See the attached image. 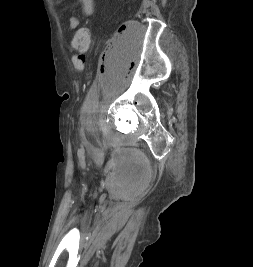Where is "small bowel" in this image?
I'll return each mask as SVG.
<instances>
[{"instance_id":"1","label":"small bowel","mask_w":253,"mask_h":267,"mask_svg":"<svg viewBox=\"0 0 253 267\" xmlns=\"http://www.w3.org/2000/svg\"><path fill=\"white\" fill-rule=\"evenodd\" d=\"M81 6L82 13L85 16H92L94 13V0H78ZM68 25L71 29H77L80 25V20L76 16L68 18Z\"/></svg>"}]
</instances>
